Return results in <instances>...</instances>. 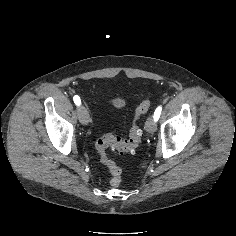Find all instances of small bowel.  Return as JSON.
I'll return each instance as SVG.
<instances>
[{
    "mask_svg": "<svg viewBox=\"0 0 236 236\" xmlns=\"http://www.w3.org/2000/svg\"><path fill=\"white\" fill-rule=\"evenodd\" d=\"M111 103L116 108H121L125 105V101L122 98H113L111 99Z\"/></svg>",
    "mask_w": 236,
    "mask_h": 236,
    "instance_id": "c3829d8e",
    "label": "small bowel"
}]
</instances>
